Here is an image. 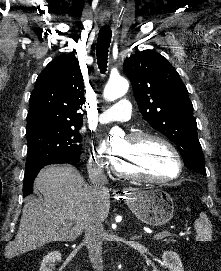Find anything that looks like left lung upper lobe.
I'll list each match as a JSON object with an SVG mask.
<instances>
[{
    "instance_id": "left-lung-upper-lobe-1",
    "label": "left lung upper lobe",
    "mask_w": 221,
    "mask_h": 271,
    "mask_svg": "<svg viewBox=\"0 0 221 271\" xmlns=\"http://www.w3.org/2000/svg\"><path fill=\"white\" fill-rule=\"evenodd\" d=\"M123 69L143 118L178 147L187 168L206 175L193 105L176 69L152 50L127 58Z\"/></svg>"
}]
</instances>
